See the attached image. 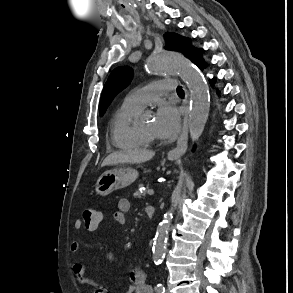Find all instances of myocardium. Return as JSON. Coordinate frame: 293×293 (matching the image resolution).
I'll list each match as a JSON object with an SVG mask.
<instances>
[{
	"label": "myocardium",
	"instance_id": "f54148a6",
	"mask_svg": "<svg viewBox=\"0 0 293 293\" xmlns=\"http://www.w3.org/2000/svg\"><path fill=\"white\" fill-rule=\"evenodd\" d=\"M140 132H141L142 136H143V137H144L149 143L154 142L155 138H154L153 136H151V135H149V134H146V133H144V132H142V131H140Z\"/></svg>",
	"mask_w": 293,
	"mask_h": 293
}]
</instances>
